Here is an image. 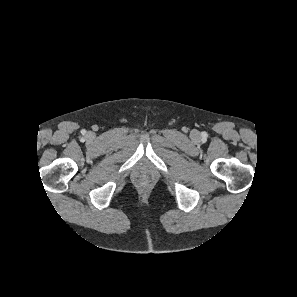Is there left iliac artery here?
Segmentation results:
<instances>
[{
    "label": "left iliac artery",
    "mask_w": 297,
    "mask_h": 297,
    "mask_svg": "<svg viewBox=\"0 0 297 297\" xmlns=\"http://www.w3.org/2000/svg\"><path fill=\"white\" fill-rule=\"evenodd\" d=\"M203 137H206V134L205 133L203 134Z\"/></svg>",
    "instance_id": "44dca946"
}]
</instances>
